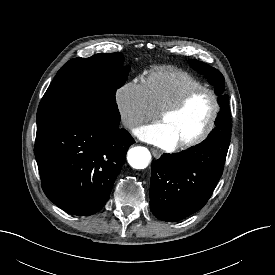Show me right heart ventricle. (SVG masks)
Masks as SVG:
<instances>
[{
  "label": "right heart ventricle",
  "mask_w": 275,
  "mask_h": 275,
  "mask_svg": "<svg viewBox=\"0 0 275 275\" xmlns=\"http://www.w3.org/2000/svg\"><path fill=\"white\" fill-rule=\"evenodd\" d=\"M143 84L155 111L172 104L187 91L204 86L197 77L176 68L153 69Z\"/></svg>",
  "instance_id": "obj_1"
}]
</instances>
